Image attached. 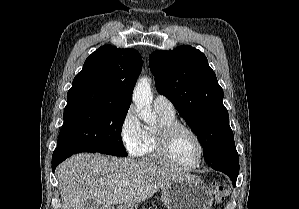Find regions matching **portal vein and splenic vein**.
<instances>
[{
  "instance_id": "obj_1",
  "label": "portal vein and splenic vein",
  "mask_w": 299,
  "mask_h": 209,
  "mask_svg": "<svg viewBox=\"0 0 299 209\" xmlns=\"http://www.w3.org/2000/svg\"><path fill=\"white\" fill-rule=\"evenodd\" d=\"M125 185H127V182L125 181L120 182V186H125Z\"/></svg>"
}]
</instances>
